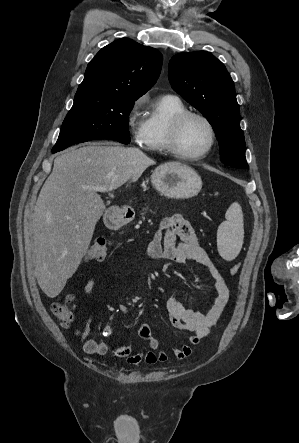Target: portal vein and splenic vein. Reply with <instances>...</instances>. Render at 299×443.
Here are the masks:
<instances>
[{
    "label": "portal vein and splenic vein",
    "mask_w": 299,
    "mask_h": 443,
    "mask_svg": "<svg viewBox=\"0 0 299 443\" xmlns=\"http://www.w3.org/2000/svg\"><path fill=\"white\" fill-rule=\"evenodd\" d=\"M89 188V187H87ZM91 189L96 190L98 192H108V191H112V189H105V188H101V187H92Z\"/></svg>",
    "instance_id": "1"
}]
</instances>
